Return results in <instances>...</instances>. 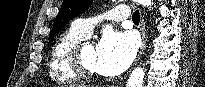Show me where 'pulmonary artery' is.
Returning <instances> with one entry per match:
<instances>
[{
  "label": "pulmonary artery",
  "instance_id": "obj_1",
  "mask_svg": "<svg viewBox=\"0 0 205 87\" xmlns=\"http://www.w3.org/2000/svg\"><path fill=\"white\" fill-rule=\"evenodd\" d=\"M130 17L127 5H120L106 11L105 14L95 18L77 19L72 23V28L84 37H88L97 22L106 20L110 22L121 21Z\"/></svg>",
  "mask_w": 205,
  "mask_h": 87
}]
</instances>
